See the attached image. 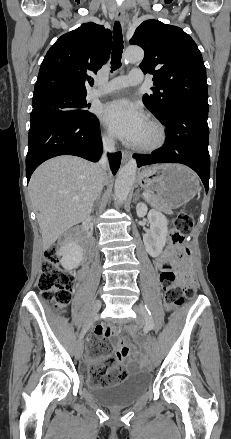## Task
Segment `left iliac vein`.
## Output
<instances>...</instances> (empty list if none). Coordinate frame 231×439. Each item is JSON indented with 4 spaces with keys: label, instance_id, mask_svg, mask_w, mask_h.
Returning a JSON list of instances; mask_svg holds the SVG:
<instances>
[{
    "label": "left iliac vein",
    "instance_id": "4c4485c4",
    "mask_svg": "<svg viewBox=\"0 0 231 439\" xmlns=\"http://www.w3.org/2000/svg\"><path fill=\"white\" fill-rule=\"evenodd\" d=\"M134 310L137 313L136 322L139 325H143L145 323V315H146L145 308L143 306H134ZM151 342H152L151 360L154 366H158L160 363V348L155 336H152Z\"/></svg>",
    "mask_w": 231,
    "mask_h": 439
}]
</instances>
